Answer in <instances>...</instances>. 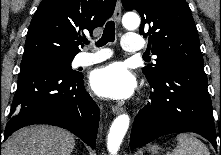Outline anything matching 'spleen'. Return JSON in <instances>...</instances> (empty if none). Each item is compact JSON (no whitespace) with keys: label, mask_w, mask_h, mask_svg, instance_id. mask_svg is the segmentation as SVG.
Returning <instances> with one entry per match:
<instances>
[{"label":"spleen","mask_w":221,"mask_h":155,"mask_svg":"<svg viewBox=\"0 0 221 155\" xmlns=\"http://www.w3.org/2000/svg\"><path fill=\"white\" fill-rule=\"evenodd\" d=\"M176 148L166 155H210L206 145L194 135L182 133L176 136Z\"/></svg>","instance_id":"3e777b00"}]
</instances>
